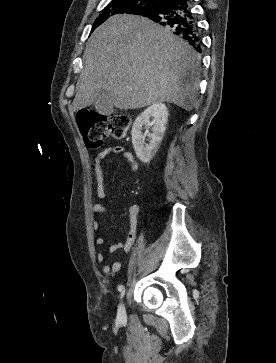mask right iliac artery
I'll list each match as a JSON object with an SVG mask.
<instances>
[{
	"label": "right iliac artery",
	"instance_id": "obj_1",
	"mask_svg": "<svg viewBox=\"0 0 276 363\" xmlns=\"http://www.w3.org/2000/svg\"><path fill=\"white\" fill-rule=\"evenodd\" d=\"M118 291L120 292V297L122 298L125 294V287L123 285H120L118 287Z\"/></svg>",
	"mask_w": 276,
	"mask_h": 363
}]
</instances>
